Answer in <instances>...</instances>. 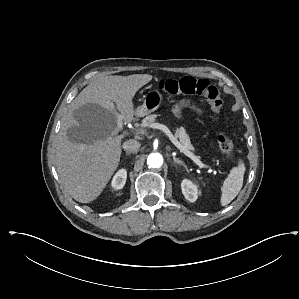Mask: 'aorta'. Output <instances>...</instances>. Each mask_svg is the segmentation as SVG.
Returning <instances> with one entry per match:
<instances>
[{"mask_svg": "<svg viewBox=\"0 0 299 299\" xmlns=\"http://www.w3.org/2000/svg\"><path fill=\"white\" fill-rule=\"evenodd\" d=\"M147 164L152 168H160L163 164V157L160 153H151L147 158Z\"/></svg>", "mask_w": 299, "mask_h": 299, "instance_id": "obj_1", "label": "aorta"}]
</instances>
